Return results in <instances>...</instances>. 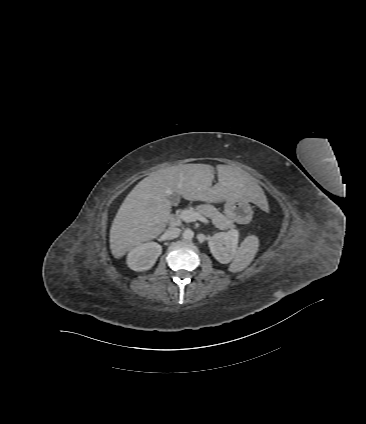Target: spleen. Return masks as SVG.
<instances>
[{"label": "spleen", "instance_id": "spleen-1", "mask_svg": "<svg viewBox=\"0 0 366 424\" xmlns=\"http://www.w3.org/2000/svg\"><path fill=\"white\" fill-rule=\"evenodd\" d=\"M259 247V239L255 235L247 236L240 244L229 271L232 273L240 272L250 265L254 259Z\"/></svg>", "mask_w": 366, "mask_h": 424}]
</instances>
